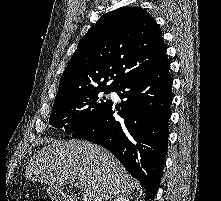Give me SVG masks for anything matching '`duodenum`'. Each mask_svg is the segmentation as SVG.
I'll list each match as a JSON object with an SVG mask.
<instances>
[{
    "instance_id": "obj_1",
    "label": "duodenum",
    "mask_w": 221,
    "mask_h": 201,
    "mask_svg": "<svg viewBox=\"0 0 221 201\" xmlns=\"http://www.w3.org/2000/svg\"><path fill=\"white\" fill-rule=\"evenodd\" d=\"M57 200L58 201H74L72 198L70 197H67V198H64L63 196L61 195H57Z\"/></svg>"
}]
</instances>
